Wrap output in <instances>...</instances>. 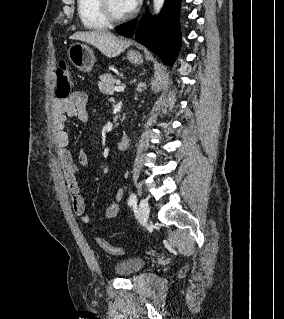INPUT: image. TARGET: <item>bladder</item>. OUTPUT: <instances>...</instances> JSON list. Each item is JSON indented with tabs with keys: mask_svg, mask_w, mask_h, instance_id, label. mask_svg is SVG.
Returning a JSON list of instances; mask_svg holds the SVG:
<instances>
[{
	"mask_svg": "<svg viewBox=\"0 0 284 319\" xmlns=\"http://www.w3.org/2000/svg\"><path fill=\"white\" fill-rule=\"evenodd\" d=\"M146 262L141 257H130L118 261L114 266V272L123 277L131 276L139 272Z\"/></svg>",
	"mask_w": 284,
	"mask_h": 319,
	"instance_id": "31cf9c89",
	"label": "bladder"
}]
</instances>
